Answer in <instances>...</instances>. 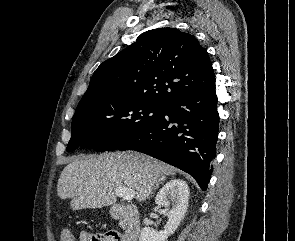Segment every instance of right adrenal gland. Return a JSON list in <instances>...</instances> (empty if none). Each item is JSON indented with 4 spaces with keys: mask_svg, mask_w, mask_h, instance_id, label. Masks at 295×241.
I'll list each match as a JSON object with an SVG mask.
<instances>
[{
    "mask_svg": "<svg viewBox=\"0 0 295 241\" xmlns=\"http://www.w3.org/2000/svg\"><path fill=\"white\" fill-rule=\"evenodd\" d=\"M166 179V176H161L159 180L156 182V185L154 186V190L158 188L160 182L164 181Z\"/></svg>",
    "mask_w": 295,
    "mask_h": 241,
    "instance_id": "obj_1",
    "label": "right adrenal gland"
}]
</instances>
